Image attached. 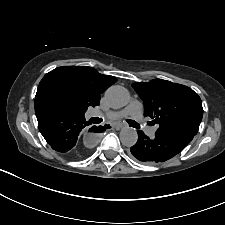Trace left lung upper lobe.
<instances>
[{
    "mask_svg": "<svg viewBox=\"0 0 225 225\" xmlns=\"http://www.w3.org/2000/svg\"><path fill=\"white\" fill-rule=\"evenodd\" d=\"M132 86L144 102V115L159 125L156 134H197L203 107L191 88L162 79L136 82Z\"/></svg>",
    "mask_w": 225,
    "mask_h": 225,
    "instance_id": "left-lung-upper-lobe-1",
    "label": "left lung upper lobe"
}]
</instances>
